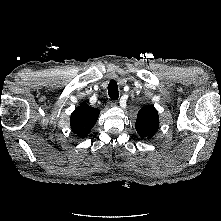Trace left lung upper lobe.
Here are the masks:
<instances>
[{"mask_svg": "<svg viewBox=\"0 0 221 221\" xmlns=\"http://www.w3.org/2000/svg\"><path fill=\"white\" fill-rule=\"evenodd\" d=\"M159 128V116L152 106L141 108L137 114L135 129L141 139L152 138Z\"/></svg>", "mask_w": 221, "mask_h": 221, "instance_id": "1", "label": "left lung upper lobe"}]
</instances>
